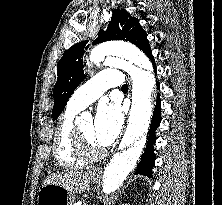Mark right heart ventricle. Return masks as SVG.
<instances>
[{
	"label": "right heart ventricle",
	"mask_w": 222,
	"mask_h": 205,
	"mask_svg": "<svg viewBox=\"0 0 222 205\" xmlns=\"http://www.w3.org/2000/svg\"><path fill=\"white\" fill-rule=\"evenodd\" d=\"M77 113V110L67 107L55 132L53 156L56 163L63 168H80L84 164L73 146L74 117Z\"/></svg>",
	"instance_id": "1"
}]
</instances>
